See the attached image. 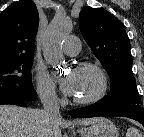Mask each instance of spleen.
<instances>
[{
    "label": "spleen",
    "instance_id": "1",
    "mask_svg": "<svg viewBox=\"0 0 144 137\" xmlns=\"http://www.w3.org/2000/svg\"><path fill=\"white\" fill-rule=\"evenodd\" d=\"M126 137H142V134L135 127H129Z\"/></svg>",
    "mask_w": 144,
    "mask_h": 137
}]
</instances>
